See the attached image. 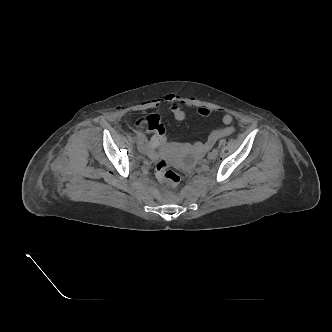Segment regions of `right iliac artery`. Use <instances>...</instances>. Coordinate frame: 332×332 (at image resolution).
I'll return each mask as SVG.
<instances>
[{"label":"right iliac artery","mask_w":332,"mask_h":332,"mask_svg":"<svg viewBox=\"0 0 332 332\" xmlns=\"http://www.w3.org/2000/svg\"><path fill=\"white\" fill-rule=\"evenodd\" d=\"M136 135H137L138 139H142V140H144V135H143V133H141V132H137Z\"/></svg>","instance_id":"right-iliac-artery-1"}]
</instances>
